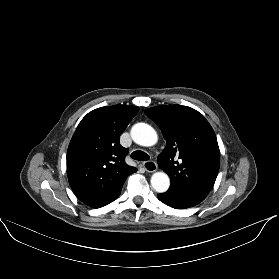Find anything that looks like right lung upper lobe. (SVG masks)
Returning a JSON list of instances; mask_svg holds the SVG:
<instances>
[{
	"instance_id": "1",
	"label": "right lung upper lobe",
	"mask_w": 279,
	"mask_h": 279,
	"mask_svg": "<svg viewBox=\"0 0 279 279\" xmlns=\"http://www.w3.org/2000/svg\"><path fill=\"white\" fill-rule=\"evenodd\" d=\"M138 110L130 105L101 107L78 125L68 147L67 174L84 204L100 208L114 201L126 178L137 171L126 164L128 150L119 139Z\"/></svg>"
}]
</instances>
